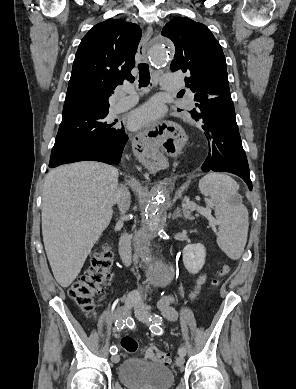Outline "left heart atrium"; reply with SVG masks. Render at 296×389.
<instances>
[{"label": "left heart atrium", "instance_id": "39dd6f15", "mask_svg": "<svg viewBox=\"0 0 296 389\" xmlns=\"http://www.w3.org/2000/svg\"><path fill=\"white\" fill-rule=\"evenodd\" d=\"M162 116L161 106L151 101L136 109L129 118V126L133 130L144 128Z\"/></svg>", "mask_w": 296, "mask_h": 389}]
</instances>
